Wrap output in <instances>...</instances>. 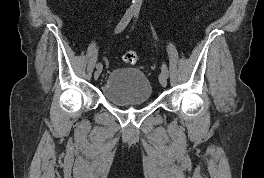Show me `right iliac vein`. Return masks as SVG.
<instances>
[{"label": "right iliac vein", "instance_id": "right-iliac-vein-1", "mask_svg": "<svg viewBox=\"0 0 264 178\" xmlns=\"http://www.w3.org/2000/svg\"><path fill=\"white\" fill-rule=\"evenodd\" d=\"M101 72H102V69H97V71H95V73H94V79L95 80L98 79V77L100 76Z\"/></svg>", "mask_w": 264, "mask_h": 178}]
</instances>
